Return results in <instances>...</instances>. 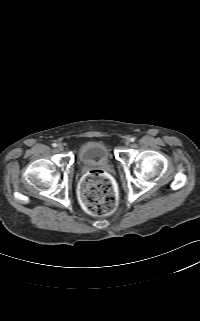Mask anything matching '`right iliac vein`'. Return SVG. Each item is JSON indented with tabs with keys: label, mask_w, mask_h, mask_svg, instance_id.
<instances>
[{
	"label": "right iliac vein",
	"mask_w": 200,
	"mask_h": 321,
	"mask_svg": "<svg viewBox=\"0 0 200 321\" xmlns=\"http://www.w3.org/2000/svg\"><path fill=\"white\" fill-rule=\"evenodd\" d=\"M57 148H58L59 151H62L64 149L62 144H58Z\"/></svg>",
	"instance_id": "1"
}]
</instances>
